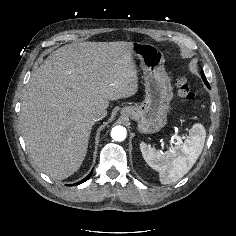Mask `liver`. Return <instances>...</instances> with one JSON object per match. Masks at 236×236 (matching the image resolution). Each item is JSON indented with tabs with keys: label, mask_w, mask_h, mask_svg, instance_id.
I'll return each instance as SVG.
<instances>
[{
	"label": "liver",
	"mask_w": 236,
	"mask_h": 236,
	"mask_svg": "<svg viewBox=\"0 0 236 236\" xmlns=\"http://www.w3.org/2000/svg\"><path fill=\"white\" fill-rule=\"evenodd\" d=\"M131 46L123 41L65 45L32 73L20 124L31 158L52 179L63 180L80 168L94 125L90 112L138 91Z\"/></svg>",
	"instance_id": "liver-1"
}]
</instances>
